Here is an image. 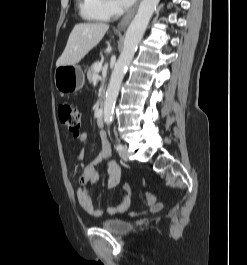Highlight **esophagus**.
I'll return each instance as SVG.
<instances>
[{
  "mask_svg": "<svg viewBox=\"0 0 247 265\" xmlns=\"http://www.w3.org/2000/svg\"><path fill=\"white\" fill-rule=\"evenodd\" d=\"M138 3L139 2H137V4L117 24L118 30L123 31L127 28V26L129 25L130 21L132 20V18L134 17L136 13Z\"/></svg>",
  "mask_w": 247,
  "mask_h": 265,
  "instance_id": "esophagus-1",
  "label": "esophagus"
}]
</instances>
